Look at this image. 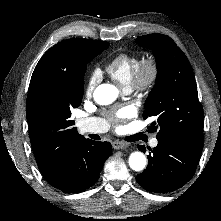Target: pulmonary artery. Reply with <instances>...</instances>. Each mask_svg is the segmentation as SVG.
Segmentation results:
<instances>
[{
  "label": "pulmonary artery",
  "mask_w": 221,
  "mask_h": 221,
  "mask_svg": "<svg viewBox=\"0 0 221 221\" xmlns=\"http://www.w3.org/2000/svg\"><path fill=\"white\" fill-rule=\"evenodd\" d=\"M77 126L82 133H103L108 129V124L96 117L80 119L77 122ZM150 144L152 147H156L158 140L153 138Z\"/></svg>",
  "instance_id": "1"
}]
</instances>
